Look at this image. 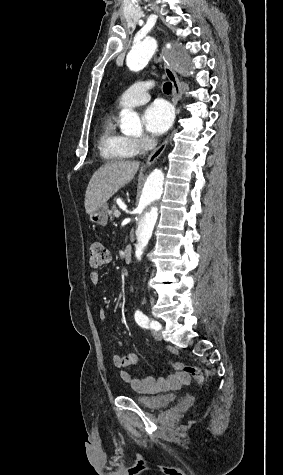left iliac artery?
<instances>
[{
    "label": "left iliac artery",
    "mask_w": 283,
    "mask_h": 475,
    "mask_svg": "<svg viewBox=\"0 0 283 475\" xmlns=\"http://www.w3.org/2000/svg\"><path fill=\"white\" fill-rule=\"evenodd\" d=\"M135 320L143 328H153L159 330L161 325L156 321H151L142 311L137 310L135 312Z\"/></svg>",
    "instance_id": "left-iliac-artery-1"
}]
</instances>
